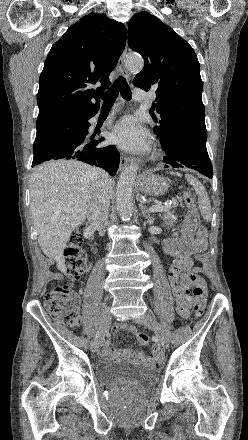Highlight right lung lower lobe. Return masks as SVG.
<instances>
[{
	"label": "right lung lower lobe",
	"mask_w": 248,
	"mask_h": 440,
	"mask_svg": "<svg viewBox=\"0 0 248 440\" xmlns=\"http://www.w3.org/2000/svg\"><path fill=\"white\" fill-rule=\"evenodd\" d=\"M98 110L99 107L75 112L37 128L32 167L51 159H76L104 168L114 176L120 160L116 147H100L104 138L88 135V120Z\"/></svg>",
	"instance_id": "1"
}]
</instances>
